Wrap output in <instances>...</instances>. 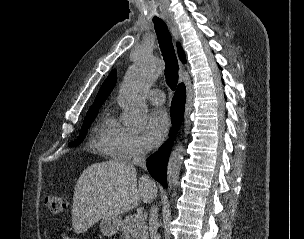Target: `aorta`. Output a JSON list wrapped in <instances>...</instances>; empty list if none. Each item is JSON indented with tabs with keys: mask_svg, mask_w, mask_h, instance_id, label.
Listing matches in <instances>:
<instances>
[{
	"mask_svg": "<svg viewBox=\"0 0 304 239\" xmlns=\"http://www.w3.org/2000/svg\"><path fill=\"white\" fill-rule=\"evenodd\" d=\"M161 64L150 56L137 58L127 72L120 90V103L123 119L130 124L139 125L147 116L145 95L149 87L161 74ZM183 163V149L177 145L171 152L167 166L168 187H176Z\"/></svg>",
	"mask_w": 304,
	"mask_h": 239,
	"instance_id": "762f6f07",
	"label": "aorta"
}]
</instances>
